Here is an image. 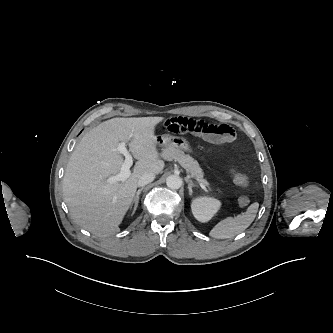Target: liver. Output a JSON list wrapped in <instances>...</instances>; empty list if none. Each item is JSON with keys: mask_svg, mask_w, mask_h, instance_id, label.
I'll return each instance as SVG.
<instances>
[{"mask_svg": "<svg viewBox=\"0 0 333 333\" xmlns=\"http://www.w3.org/2000/svg\"><path fill=\"white\" fill-rule=\"evenodd\" d=\"M163 117L113 118L90 129L72 152L63 178V196L73 220L99 237L120 231L137 190L140 177L159 174L165 163L159 158L155 127ZM129 142L137 159L125 181L107 182L124 163L117 150Z\"/></svg>", "mask_w": 333, "mask_h": 333, "instance_id": "liver-1", "label": "liver"}]
</instances>
